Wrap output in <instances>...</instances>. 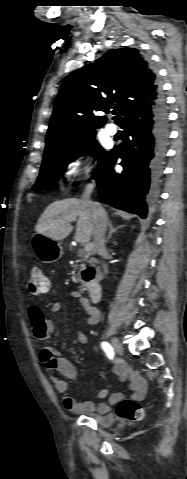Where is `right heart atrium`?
Segmentation results:
<instances>
[{"instance_id": "d8ad5b80", "label": "right heart atrium", "mask_w": 187, "mask_h": 479, "mask_svg": "<svg viewBox=\"0 0 187 479\" xmlns=\"http://www.w3.org/2000/svg\"><path fill=\"white\" fill-rule=\"evenodd\" d=\"M83 170L84 173L89 175L92 172V160L90 157L84 158L80 163L71 162L69 163L64 170V178L66 180H72L74 176Z\"/></svg>"}]
</instances>
